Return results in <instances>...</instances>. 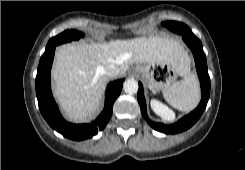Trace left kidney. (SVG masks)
I'll use <instances>...</instances> for the list:
<instances>
[{
	"label": "left kidney",
	"mask_w": 245,
	"mask_h": 170,
	"mask_svg": "<svg viewBox=\"0 0 245 170\" xmlns=\"http://www.w3.org/2000/svg\"><path fill=\"white\" fill-rule=\"evenodd\" d=\"M151 108L158 116L165 120L172 121L175 117L174 113L167 106L157 100H151Z\"/></svg>",
	"instance_id": "1"
}]
</instances>
